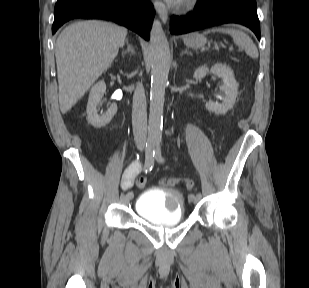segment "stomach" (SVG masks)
Segmentation results:
<instances>
[{
  "instance_id": "obj_1",
  "label": "stomach",
  "mask_w": 309,
  "mask_h": 288,
  "mask_svg": "<svg viewBox=\"0 0 309 288\" xmlns=\"http://www.w3.org/2000/svg\"><path fill=\"white\" fill-rule=\"evenodd\" d=\"M183 41L187 47L194 49L203 47L207 42L206 38L198 33H190L185 35Z\"/></svg>"
}]
</instances>
